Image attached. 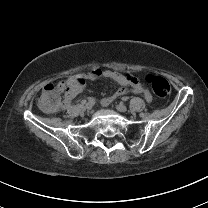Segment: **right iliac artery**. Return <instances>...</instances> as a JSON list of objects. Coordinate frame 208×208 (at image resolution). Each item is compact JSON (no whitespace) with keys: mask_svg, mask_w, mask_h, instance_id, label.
Wrapping results in <instances>:
<instances>
[{"mask_svg":"<svg viewBox=\"0 0 208 208\" xmlns=\"http://www.w3.org/2000/svg\"><path fill=\"white\" fill-rule=\"evenodd\" d=\"M88 102H91V103H95V99L93 98V97H90L89 99H88Z\"/></svg>","mask_w":208,"mask_h":208,"instance_id":"82829eb1","label":"right iliac artery"}]
</instances>
